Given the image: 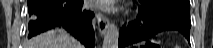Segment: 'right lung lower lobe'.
I'll return each instance as SVG.
<instances>
[{
    "label": "right lung lower lobe",
    "instance_id": "98d812e1",
    "mask_svg": "<svg viewBox=\"0 0 213 48\" xmlns=\"http://www.w3.org/2000/svg\"><path fill=\"white\" fill-rule=\"evenodd\" d=\"M28 12V38L59 26L87 48H94V13L84 9L83 0H28Z\"/></svg>",
    "mask_w": 213,
    "mask_h": 48
}]
</instances>
